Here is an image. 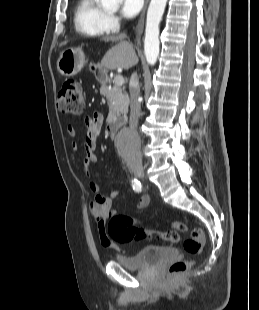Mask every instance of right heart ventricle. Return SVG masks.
<instances>
[{"mask_svg":"<svg viewBox=\"0 0 259 310\" xmlns=\"http://www.w3.org/2000/svg\"><path fill=\"white\" fill-rule=\"evenodd\" d=\"M107 13L97 0H79L76 6L74 23L78 32L89 35H103L107 28Z\"/></svg>","mask_w":259,"mask_h":310,"instance_id":"e07e8e85","label":"right heart ventricle"}]
</instances>
